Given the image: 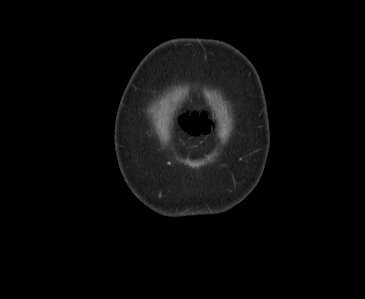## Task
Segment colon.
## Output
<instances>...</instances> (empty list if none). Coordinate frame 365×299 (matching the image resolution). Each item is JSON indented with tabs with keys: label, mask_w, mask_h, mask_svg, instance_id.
Segmentation results:
<instances>
[{
	"label": "colon",
	"mask_w": 365,
	"mask_h": 299,
	"mask_svg": "<svg viewBox=\"0 0 365 299\" xmlns=\"http://www.w3.org/2000/svg\"><path fill=\"white\" fill-rule=\"evenodd\" d=\"M184 130L191 135L208 133L212 127L211 121L202 113L185 112L180 117Z\"/></svg>",
	"instance_id": "colon-1"
}]
</instances>
